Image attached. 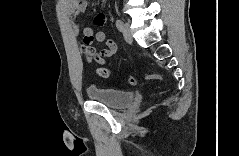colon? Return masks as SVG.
<instances>
[{
    "mask_svg": "<svg viewBox=\"0 0 239 156\" xmlns=\"http://www.w3.org/2000/svg\"><path fill=\"white\" fill-rule=\"evenodd\" d=\"M111 70H109L108 68H100V69H98V74L101 76V77H109L110 75H111ZM146 78L147 79H152V80H161V78H160V76L159 75H157V74H152V73H148L147 75H146ZM127 83L129 84V85H135V83H136V80H135V78L134 77H132V76H129L128 77V79H127Z\"/></svg>",
    "mask_w": 239,
    "mask_h": 156,
    "instance_id": "obj_1",
    "label": "colon"
}]
</instances>
